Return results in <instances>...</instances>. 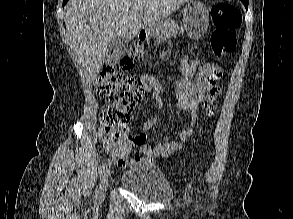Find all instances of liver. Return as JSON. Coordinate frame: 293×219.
I'll list each match as a JSON object with an SVG mask.
<instances>
[{
  "label": "liver",
  "mask_w": 293,
  "mask_h": 219,
  "mask_svg": "<svg viewBox=\"0 0 293 219\" xmlns=\"http://www.w3.org/2000/svg\"><path fill=\"white\" fill-rule=\"evenodd\" d=\"M188 1L69 0L64 23L73 57L84 77L89 82L97 78L113 39H134L144 26L156 25Z\"/></svg>",
  "instance_id": "obj_1"
}]
</instances>
